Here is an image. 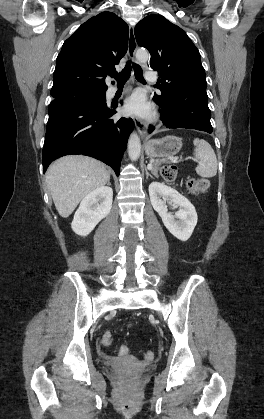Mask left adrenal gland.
I'll use <instances>...</instances> for the list:
<instances>
[{"label": "left adrenal gland", "instance_id": "a2214340", "mask_svg": "<svg viewBox=\"0 0 264 419\" xmlns=\"http://www.w3.org/2000/svg\"><path fill=\"white\" fill-rule=\"evenodd\" d=\"M151 177V178H153V176L148 172V170L146 169V177L148 178V177Z\"/></svg>", "mask_w": 264, "mask_h": 419}]
</instances>
